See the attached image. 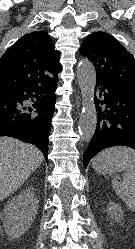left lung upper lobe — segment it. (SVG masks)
<instances>
[{"label":"left lung upper lobe","instance_id":"obj_1","mask_svg":"<svg viewBox=\"0 0 135 249\" xmlns=\"http://www.w3.org/2000/svg\"><path fill=\"white\" fill-rule=\"evenodd\" d=\"M79 51L92 61L97 81L135 91V59L112 35L94 32Z\"/></svg>","mask_w":135,"mask_h":249}]
</instances>
